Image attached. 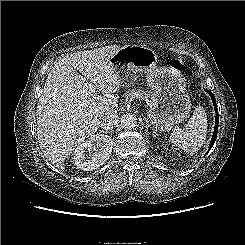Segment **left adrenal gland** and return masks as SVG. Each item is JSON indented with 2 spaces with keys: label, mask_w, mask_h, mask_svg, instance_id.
<instances>
[{
  "label": "left adrenal gland",
  "mask_w": 245,
  "mask_h": 245,
  "mask_svg": "<svg viewBox=\"0 0 245 245\" xmlns=\"http://www.w3.org/2000/svg\"><path fill=\"white\" fill-rule=\"evenodd\" d=\"M144 120H145V122H146V129H147V131H148V129L150 128L149 121H148L146 118H144Z\"/></svg>",
  "instance_id": "obj_1"
}]
</instances>
